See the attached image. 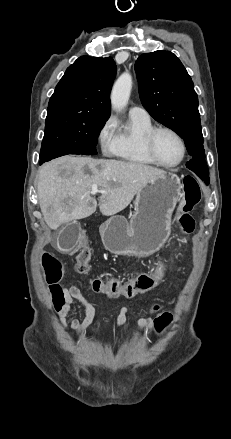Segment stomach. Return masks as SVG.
I'll use <instances>...</instances> for the list:
<instances>
[{"mask_svg":"<svg viewBox=\"0 0 231 439\" xmlns=\"http://www.w3.org/2000/svg\"><path fill=\"white\" fill-rule=\"evenodd\" d=\"M181 189L176 174L164 172L151 179L137 192L135 212L129 221L113 216L100 226L105 248L123 256L148 257L157 252L170 235Z\"/></svg>","mask_w":231,"mask_h":439,"instance_id":"stomach-1","label":"stomach"}]
</instances>
